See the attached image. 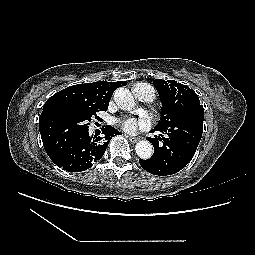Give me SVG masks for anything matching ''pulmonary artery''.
I'll list each match as a JSON object with an SVG mask.
<instances>
[{"instance_id": "1", "label": "pulmonary artery", "mask_w": 255, "mask_h": 255, "mask_svg": "<svg viewBox=\"0 0 255 255\" xmlns=\"http://www.w3.org/2000/svg\"><path fill=\"white\" fill-rule=\"evenodd\" d=\"M132 91L136 99L142 102H152L155 98L154 89L145 83L136 84Z\"/></svg>"}]
</instances>
